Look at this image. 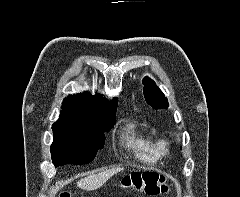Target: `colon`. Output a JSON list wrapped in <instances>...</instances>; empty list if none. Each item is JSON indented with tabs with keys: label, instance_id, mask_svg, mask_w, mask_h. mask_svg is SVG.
<instances>
[{
	"label": "colon",
	"instance_id": "colon-1",
	"mask_svg": "<svg viewBox=\"0 0 240 197\" xmlns=\"http://www.w3.org/2000/svg\"><path fill=\"white\" fill-rule=\"evenodd\" d=\"M124 186L130 190L145 192L149 195H158L168 190L165 177L157 173L131 174L125 178ZM60 197H70V195L63 192Z\"/></svg>",
	"mask_w": 240,
	"mask_h": 197
}]
</instances>
